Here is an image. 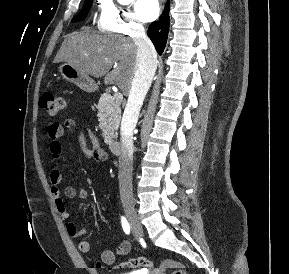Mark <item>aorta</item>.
Returning a JSON list of instances; mask_svg holds the SVG:
<instances>
[{"instance_id": "762f6f07", "label": "aorta", "mask_w": 289, "mask_h": 274, "mask_svg": "<svg viewBox=\"0 0 289 274\" xmlns=\"http://www.w3.org/2000/svg\"><path fill=\"white\" fill-rule=\"evenodd\" d=\"M130 0H118L119 3L121 4H127Z\"/></svg>"}]
</instances>
